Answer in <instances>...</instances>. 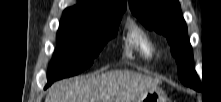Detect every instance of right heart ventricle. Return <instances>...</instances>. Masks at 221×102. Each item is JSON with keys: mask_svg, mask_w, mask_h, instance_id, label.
<instances>
[{"mask_svg": "<svg viewBox=\"0 0 221 102\" xmlns=\"http://www.w3.org/2000/svg\"><path fill=\"white\" fill-rule=\"evenodd\" d=\"M156 48V43L142 28L136 24L129 26L126 37V50L129 57L136 54L149 59L154 55Z\"/></svg>", "mask_w": 221, "mask_h": 102, "instance_id": "1", "label": "right heart ventricle"}]
</instances>
